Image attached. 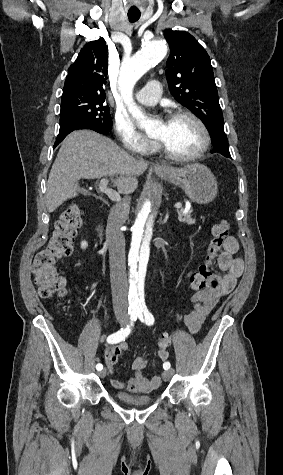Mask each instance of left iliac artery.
I'll return each mask as SVG.
<instances>
[{
    "label": "left iliac artery",
    "instance_id": "1",
    "mask_svg": "<svg viewBox=\"0 0 283 475\" xmlns=\"http://www.w3.org/2000/svg\"><path fill=\"white\" fill-rule=\"evenodd\" d=\"M138 318L142 321L145 322L147 325H152L154 323V317L153 315L148 311V309H144L142 311H138L137 313ZM170 363L165 362L163 364V368L165 370H168L170 368Z\"/></svg>",
    "mask_w": 283,
    "mask_h": 475
}]
</instances>
